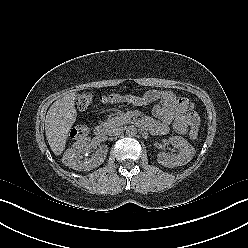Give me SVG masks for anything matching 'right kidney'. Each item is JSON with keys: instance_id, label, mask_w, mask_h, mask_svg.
Returning <instances> with one entry per match:
<instances>
[{"instance_id": "1", "label": "right kidney", "mask_w": 248, "mask_h": 248, "mask_svg": "<svg viewBox=\"0 0 248 248\" xmlns=\"http://www.w3.org/2000/svg\"><path fill=\"white\" fill-rule=\"evenodd\" d=\"M93 142L90 138H83L76 141L71 148H68L63 157L62 162L64 165L78 171H90L99 167L105 160L108 148H99L92 155L91 158H84L83 154L87 152Z\"/></svg>"}]
</instances>
